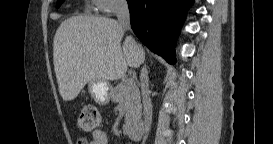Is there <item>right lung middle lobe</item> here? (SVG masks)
<instances>
[{
    "mask_svg": "<svg viewBox=\"0 0 273 144\" xmlns=\"http://www.w3.org/2000/svg\"><path fill=\"white\" fill-rule=\"evenodd\" d=\"M63 2V0H58L57 1V7H59L61 5V3Z\"/></svg>",
    "mask_w": 273,
    "mask_h": 144,
    "instance_id": "dd1d6c3e",
    "label": "right lung middle lobe"
}]
</instances>
